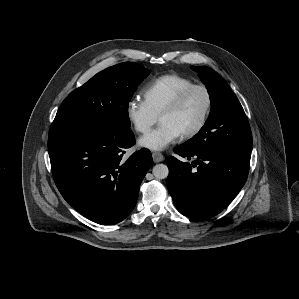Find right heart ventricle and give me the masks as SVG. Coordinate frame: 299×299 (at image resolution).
<instances>
[{
    "label": "right heart ventricle",
    "mask_w": 299,
    "mask_h": 299,
    "mask_svg": "<svg viewBox=\"0 0 299 299\" xmlns=\"http://www.w3.org/2000/svg\"><path fill=\"white\" fill-rule=\"evenodd\" d=\"M192 84L194 83L191 79L181 75H162L151 81L142 90L143 101L158 117L180 91Z\"/></svg>",
    "instance_id": "e07e8e85"
}]
</instances>
